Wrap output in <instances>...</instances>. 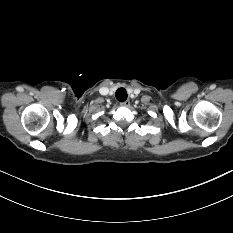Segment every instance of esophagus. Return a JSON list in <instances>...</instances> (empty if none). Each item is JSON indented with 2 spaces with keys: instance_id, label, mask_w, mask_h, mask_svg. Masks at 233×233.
Wrapping results in <instances>:
<instances>
[{
  "instance_id": "esophagus-1",
  "label": "esophagus",
  "mask_w": 233,
  "mask_h": 233,
  "mask_svg": "<svg viewBox=\"0 0 233 233\" xmlns=\"http://www.w3.org/2000/svg\"><path fill=\"white\" fill-rule=\"evenodd\" d=\"M121 105L124 106V107H128L130 105V101L126 100L124 102H121Z\"/></svg>"
}]
</instances>
